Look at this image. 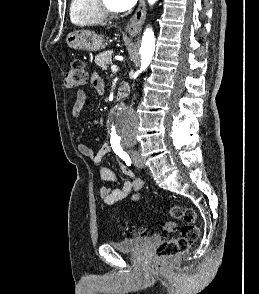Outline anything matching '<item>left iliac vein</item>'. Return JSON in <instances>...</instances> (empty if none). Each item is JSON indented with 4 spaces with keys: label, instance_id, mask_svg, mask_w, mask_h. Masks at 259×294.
<instances>
[{
    "label": "left iliac vein",
    "instance_id": "1",
    "mask_svg": "<svg viewBox=\"0 0 259 294\" xmlns=\"http://www.w3.org/2000/svg\"><path fill=\"white\" fill-rule=\"evenodd\" d=\"M131 157L133 159V162L135 164L136 167L138 168H143L144 167V164H143V161L139 155V153L137 151H132L131 152Z\"/></svg>",
    "mask_w": 259,
    "mask_h": 294
}]
</instances>
